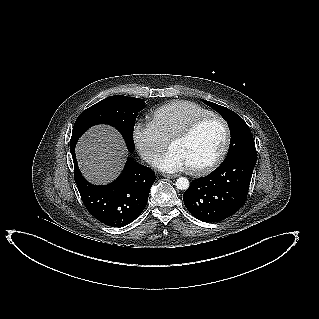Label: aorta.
<instances>
[{
  "label": "aorta",
  "mask_w": 319,
  "mask_h": 319,
  "mask_svg": "<svg viewBox=\"0 0 319 319\" xmlns=\"http://www.w3.org/2000/svg\"><path fill=\"white\" fill-rule=\"evenodd\" d=\"M176 187L180 190H186L189 187V181L185 177H180L176 180Z\"/></svg>",
  "instance_id": "1"
}]
</instances>
